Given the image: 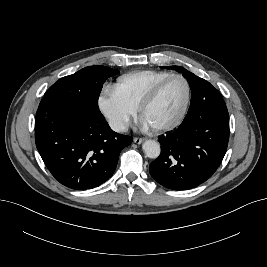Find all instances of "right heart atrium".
Instances as JSON below:
<instances>
[{
	"label": "right heart atrium",
	"mask_w": 267,
	"mask_h": 267,
	"mask_svg": "<svg viewBox=\"0 0 267 267\" xmlns=\"http://www.w3.org/2000/svg\"><path fill=\"white\" fill-rule=\"evenodd\" d=\"M98 107L111 128L118 132L126 130L136 115V109L124 101L112 88H107L100 94Z\"/></svg>",
	"instance_id": "d8ad5b80"
}]
</instances>
